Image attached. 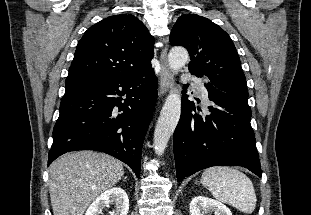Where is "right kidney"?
I'll list each match as a JSON object with an SVG mask.
<instances>
[{"label":"right kidney","mask_w":311,"mask_h":215,"mask_svg":"<svg viewBox=\"0 0 311 215\" xmlns=\"http://www.w3.org/2000/svg\"><path fill=\"white\" fill-rule=\"evenodd\" d=\"M109 204H115V210L111 215H127L129 199L127 193L121 187H114L103 192L87 209L85 215H99Z\"/></svg>","instance_id":"1"}]
</instances>
